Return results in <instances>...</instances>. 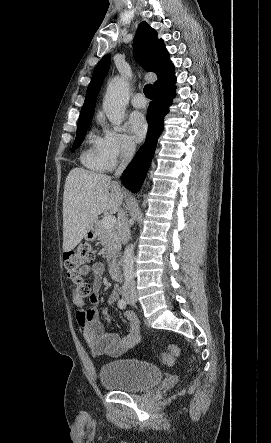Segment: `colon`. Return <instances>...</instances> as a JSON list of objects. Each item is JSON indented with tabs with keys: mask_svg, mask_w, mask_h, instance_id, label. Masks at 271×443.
Masks as SVG:
<instances>
[{
	"mask_svg": "<svg viewBox=\"0 0 271 443\" xmlns=\"http://www.w3.org/2000/svg\"><path fill=\"white\" fill-rule=\"evenodd\" d=\"M94 260V250L92 247L83 243L73 250L63 254V263L68 278L75 284V292L82 298L90 297L92 287L82 279L80 270L83 266L90 264ZM180 349L176 344H170L161 354L162 362L166 365H173L179 356Z\"/></svg>",
	"mask_w": 271,
	"mask_h": 443,
	"instance_id": "5ec220e1",
	"label": "colon"
}]
</instances>
